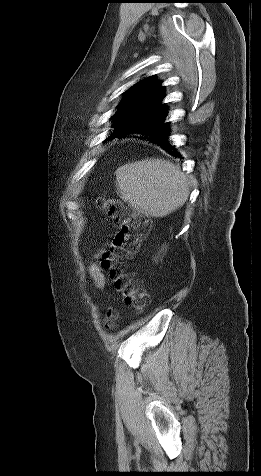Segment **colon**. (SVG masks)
Returning a JSON list of instances; mask_svg holds the SVG:
<instances>
[{"label":"colon","instance_id":"obj_1","mask_svg":"<svg viewBox=\"0 0 261 476\" xmlns=\"http://www.w3.org/2000/svg\"><path fill=\"white\" fill-rule=\"evenodd\" d=\"M96 205L117 227L108 248L102 254L101 267L108 272L115 289L123 294L126 305L140 312L148 303V294L145 289L135 285L130 274L122 272L120 266L138 252L142 239L150 232L149 220L129 210L115 198L100 197L96 200ZM116 319L117 312L109 309L106 326L112 328Z\"/></svg>","mask_w":261,"mask_h":476}]
</instances>
